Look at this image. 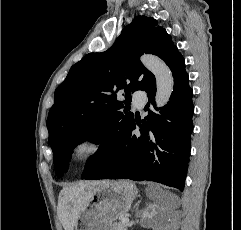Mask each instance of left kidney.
<instances>
[{"label":"left kidney","mask_w":241,"mask_h":230,"mask_svg":"<svg viewBox=\"0 0 241 230\" xmlns=\"http://www.w3.org/2000/svg\"><path fill=\"white\" fill-rule=\"evenodd\" d=\"M151 223H152L151 221H150V222H148V225H151Z\"/></svg>","instance_id":"1"}]
</instances>
